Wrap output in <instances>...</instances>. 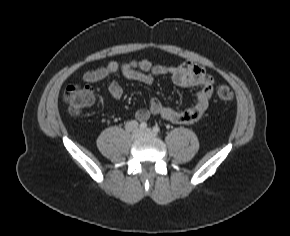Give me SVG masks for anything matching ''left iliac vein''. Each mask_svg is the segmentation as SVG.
Returning a JSON list of instances; mask_svg holds the SVG:
<instances>
[{"label":"left iliac vein","instance_id":"1","mask_svg":"<svg viewBox=\"0 0 290 236\" xmlns=\"http://www.w3.org/2000/svg\"><path fill=\"white\" fill-rule=\"evenodd\" d=\"M144 135L150 136V137H156L157 133L154 132L152 129L148 128L143 132Z\"/></svg>","mask_w":290,"mask_h":236}]
</instances>
